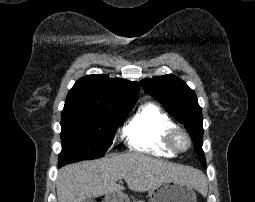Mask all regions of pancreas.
<instances>
[{"mask_svg": "<svg viewBox=\"0 0 255 202\" xmlns=\"http://www.w3.org/2000/svg\"><path fill=\"white\" fill-rule=\"evenodd\" d=\"M134 202H144V201H134Z\"/></svg>", "mask_w": 255, "mask_h": 202, "instance_id": "obj_1", "label": "pancreas"}]
</instances>
